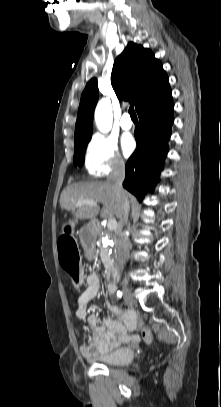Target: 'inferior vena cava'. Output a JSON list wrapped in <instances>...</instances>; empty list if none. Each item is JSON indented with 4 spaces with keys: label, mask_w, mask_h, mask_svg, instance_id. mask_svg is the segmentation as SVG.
Returning a JSON list of instances; mask_svg holds the SVG:
<instances>
[{
    "label": "inferior vena cava",
    "mask_w": 221,
    "mask_h": 407,
    "mask_svg": "<svg viewBox=\"0 0 221 407\" xmlns=\"http://www.w3.org/2000/svg\"><path fill=\"white\" fill-rule=\"evenodd\" d=\"M124 177H125L124 162L122 160L115 161L112 167V171L107 178V183H109L112 186L117 201L120 204L119 218L121 225L129 226L128 214L130 207L126 192L122 186ZM129 246L130 243L125 230H120L118 234V248H117V268L119 271H122L124 269V265L129 254Z\"/></svg>",
    "instance_id": "obj_1"
}]
</instances>
